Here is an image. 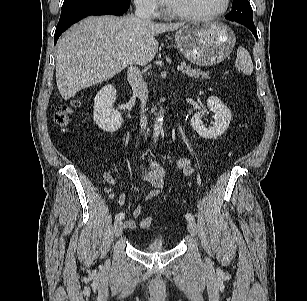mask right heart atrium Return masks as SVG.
I'll list each match as a JSON object with an SVG mask.
<instances>
[{
  "mask_svg": "<svg viewBox=\"0 0 307 301\" xmlns=\"http://www.w3.org/2000/svg\"><path fill=\"white\" fill-rule=\"evenodd\" d=\"M135 7L142 13L155 17L159 14L157 0H133Z\"/></svg>",
  "mask_w": 307,
  "mask_h": 301,
  "instance_id": "obj_1",
  "label": "right heart atrium"
}]
</instances>
